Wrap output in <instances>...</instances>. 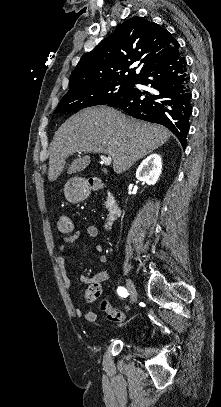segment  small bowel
Listing matches in <instances>:
<instances>
[{
  "mask_svg": "<svg viewBox=\"0 0 221 407\" xmlns=\"http://www.w3.org/2000/svg\"><path fill=\"white\" fill-rule=\"evenodd\" d=\"M81 233L82 232L80 229H78V228L74 229L69 236H65L60 239L57 250H56L57 266H58V270L60 273L61 281H62L63 285L68 289L71 288V282L67 275L66 266H65V258L69 254L68 247L73 245L80 239ZM86 234L90 238H93V239L99 238L98 229L92 225H90L86 228ZM96 249H97V251L102 252L101 246H97ZM99 258L102 262H104L106 260V256L104 254H100ZM108 277H109L108 271L102 270V271L95 273L92 276H89L87 274H82L80 276V281L82 283L88 284L89 286L91 285V283H98L100 285L102 282L106 281L108 279ZM87 292H88V290L86 291V294H85L86 301H87ZM100 294H101V287H100ZM75 314L78 317L83 318L89 322H93L97 319V315L94 312L85 313L81 307L75 308Z\"/></svg>",
  "mask_w": 221,
  "mask_h": 407,
  "instance_id": "1",
  "label": "small bowel"
}]
</instances>
